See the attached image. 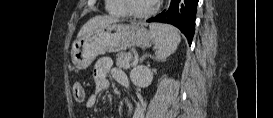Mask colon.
<instances>
[{"label": "colon", "instance_id": "1", "mask_svg": "<svg viewBox=\"0 0 273 118\" xmlns=\"http://www.w3.org/2000/svg\"><path fill=\"white\" fill-rule=\"evenodd\" d=\"M73 98L77 102H82L85 98L84 88L81 82L76 81L72 87Z\"/></svg>", "mask_w": 273, "mask_h": 118}]
</instances>
